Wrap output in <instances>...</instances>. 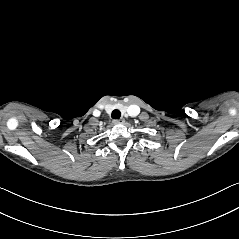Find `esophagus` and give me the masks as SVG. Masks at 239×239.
<instances>
[{
	"label": "esophagus",
	"instance_id": "34e87169",
	"mask_svg": "<svg viewBox=\"0 0 239 239\" xmlns=\"http://www.w3.org/2000/svg\"><path fill=\"white\" fill-rule=\"evenodd\" d=\"M125 122L124 118H120L118 120H114V123H119V124H123Z\"/></svg>",
	"mask_w": 239,
	"mask_h": 239
}]
</instances>
